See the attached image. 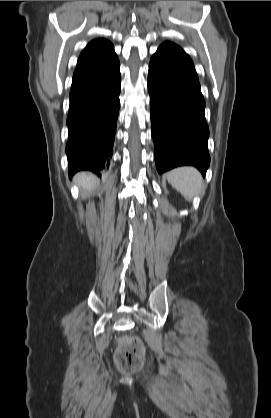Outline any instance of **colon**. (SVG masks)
I'll use <instances>...</instances> for the list:
<instances>
[{
    "instance_id": "1",
    "label": "colon",
    "mask_w": 271,
    "mask_h": 418,
    "mask_svg": "<svg viewBox=\"0 0 271 418\" xmlns=\"http://www.w3.org/2000/svg\"><path fill=\"white\" fill-rule=\"evenodd\" d=\"M144 348L142 343L133 337H126L116 351L115 362L122 371H134L142 366Z\"/></svg>"
}]
</instances>
